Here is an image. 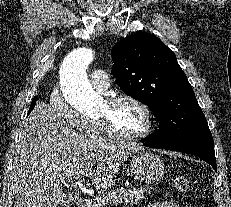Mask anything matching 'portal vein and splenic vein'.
Masks as SVG:
<instances>
[{"instance_id": "portal-vein-and-splenic-vein-1", "label": "portal vein and splenic vein", "mask_w": 231, "mask_h": 207, "mask_svg": "<svg viewBox=\"0 0 231 207\" xmlns=\"http://www.w3.org/2000/svg\"><path fill=\"white\" fill-rule=\"evenodd\" d=\"M74 186H78L82 191H86V187L82 184L81 181L75 182Z\"/></svg>"}]
</instances>
